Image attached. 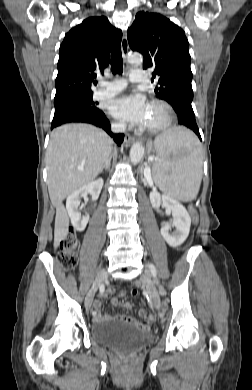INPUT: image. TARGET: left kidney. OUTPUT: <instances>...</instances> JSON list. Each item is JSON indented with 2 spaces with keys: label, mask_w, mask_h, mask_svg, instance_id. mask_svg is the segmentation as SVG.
I'll list each match as a JSON object with an SVG mask.
<instances>
[{
  "label": "left kidney",
  "mask_w": 252,
  "mask_h": 390,
  "mask_svg": "<svg viewBox=\"0 0 252 390\" xmlns=\"http://www.w3.org/2000/svg\"><path fill=\"white\" fill-rule=\"evenodd\" d=\"M149 197L154 209H159L162 205L172 212L173 221L164 223L161 228V235L169 246H180L188 237L191 226V218L187 210L177 200L167 195H160L155 189L150 192ZM172 227H175V231L170 233Z\"/></svg>",
  "instance_id": "obj_1"
}]
</instances>
